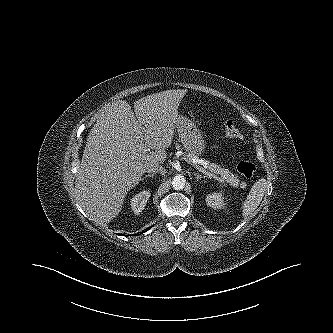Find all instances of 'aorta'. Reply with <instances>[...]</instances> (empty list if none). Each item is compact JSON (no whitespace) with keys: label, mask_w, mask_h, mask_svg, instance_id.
Returning a JSON list of instances; mask_svg holds the SVG:
<instances>
[{"label":"aorta","mask_w":333,"mask_h":333,"mask_svg":"<svg viewBox=\"0 0 333 333\" xmlns=\"http://www.w3.org/2000/svg\"><path fill=\"white\" fill-rule=\"evenodd\" d=\"M186 180L183 178V176L178 175L175 176L172 180V187L175 190H183L185 187Z\"/></svg>","instance_id":"1"}]
</instances>
